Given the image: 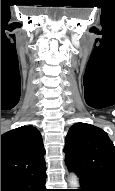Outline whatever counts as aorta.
<instances>
[{
  "mask_svg": "<svg viewBox=\"0 0 115 191\" xmlns=\"http://www.w3.org/2000/svg\"><path fill=\"white\" fill-rule=\"evenodd\" d=\"M69 183L72 188H77L79 187V179L75 173H70L69 176Z\"/></svg>",
  "mask_w": 115,
  "mask_h": 191,
  "instance_id": "762f6f07",
  "label": "aorta"
}]
</instances>
